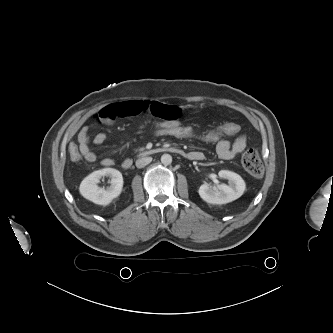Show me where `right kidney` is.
<instances>
[{
    "instance_id": "1",
    "label": "right kidney",
    "mask_w": 333,
    "mask_h": 333,
    "mask_svg": "<svg viewBox=\"0 0 333 333\" xmlns=\"http://www.w3.org/2000/svg\"><path fill=\"white\" fill-rule=\"evenodd\" d=\"M104 176L110 177L111 185L106 189L98 186L100 179ZM122 188V174L116 169L104 168L85 177L80 184L79 191L84 198L95 204L108 205L121 194Z\"/></svg>"
}]
</instances>
